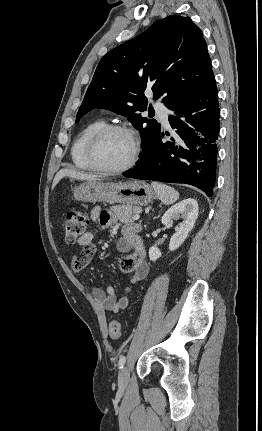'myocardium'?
Instances as JSON below:
<instances>
[{
    "mask_svg": "<svg viewBox=\"0 0 262 431\" xmlns=\"http://www.w3.org/2000/svg\"><path fill=\"white\" fill-rule=\"evenodd\" d=\"M112 132H123L127 134L133 142V152L130 159L122 166L117 168H111L103 165L97 156V149L100 141L106 135ZM141 153V142L136 132L127 125L124 124H107L98 131H96L90 138L87 150L86 158L94 170L106 173V174H120L131 169L137 162Z\"/></svg>",
    "mask_w": 262,
    "mask_h": 431,
    "instance_id": "1",
    "label": "myocardium"
}]
</instances>
